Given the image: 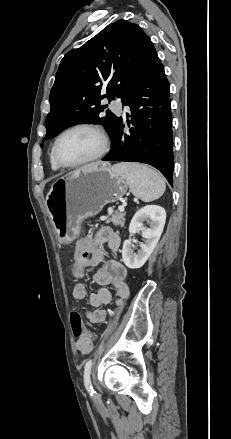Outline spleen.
Returning <instances> with one entry per match:
<instances>
[{
  "label": "spleen",
  "instance_id": "3e777b00",
  "mask_svg": "<svg viewBox=\"0 0 231 439\" xmlns=\"http://www.w3.org/2000/svg\"><path fill=\"white\" fill-rule=\"evenodd\" d=\"M115 173L122 175L132 194L144 202L160 198L165 191V181L155 170L137 163H119L112 167Z\"/></svg>",
  "mask_w": 231,
  "mask_h": 439
}]
</instances>
